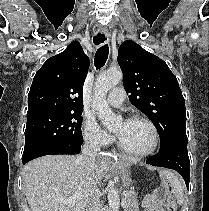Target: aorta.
<instances>
[{"mask_svg": "<svg viewBox=\"0 0 209 211\" xmlns=\"http://www.w3.org/2000/svg\"><path fill=\"white\" fill-rule=\"evenodd\" d=\"M122 78L123 75L119 69H112L100 73L95 82L92 108L97 113L102 124L108 129L114 128L120 118L110 109L106 101V95L109 90L122 81ZM107 191L110 211H118L120 198L117 190L114 187L108 186Z\"/></svg>", "mask_w": 209, "mask_h": 211, "instance_id": "aorta-1", "label": "aorta"}]
</instances>
